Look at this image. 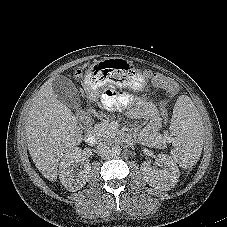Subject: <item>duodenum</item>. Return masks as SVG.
<instances>
[{
  "instance_id": "obj_1",
  "label": "duodenum",
  "mask_w": 227,
  "mask_h": 227,
  "mask_svg": "<svg viewBox=\"0 0 227 227\" xmlns=\"http://www.w3.org/2000/svg\"><path fill=\"white\" fill-rule=\"evenodd\" d=\"M85 141L88 145H94L96 143V133L94 130H88L85 134Z\"/></svg>"
}]
</instances>
